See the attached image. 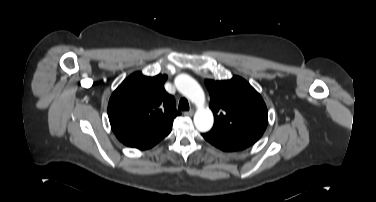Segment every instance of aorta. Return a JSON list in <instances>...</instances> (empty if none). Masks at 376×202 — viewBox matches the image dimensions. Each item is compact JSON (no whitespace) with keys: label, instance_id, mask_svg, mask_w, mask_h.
<instances>
[{"label":"aorta","instance_id":"obj_1","mask_svg":"<svg viewBox=\"0 0 376 202\" xmlns=\"http://www.w3.org/2000/svg\"><path fill=\"white\" fill-rule=\"evenodd\" d=\"M177 90L197 106L194 124L200 132L209 131L214 122L213 113L204 107L205 94L198 82L187 74H180L175 78Z\"/></svg>","mask_w":376,"mask_h":202}]
</instances>
